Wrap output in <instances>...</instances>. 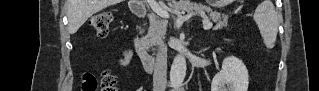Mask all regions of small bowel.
Segmentation results:
<instances>
[{
    "label": "small bowel",
    "mask_w": 319,
    "mask_h": 91,
    "mask_svg": "<svg viewBox=\"0 0 319 91\" xmlns=\"http://www.w3.org/2000/svg\"><path fill=\"white\" fill-rule=\"evenodd\" d=\"M120 50L124 54V57L117 59L116 63L120 66H126L130 63L131 53H130L129 49L126 47H121Z\"/></svg>",
    "instance_id": "c3829d8e"
}]
</instances>
